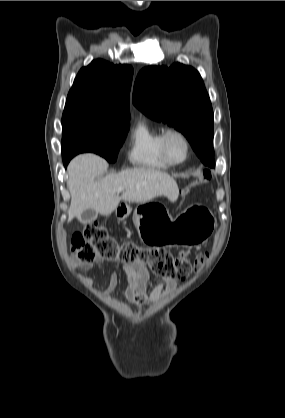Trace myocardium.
<instances>
[{"label": "myocardium", "mask_w": 285, "mask_h": 418, "mask_svg": "<svg viewBox=\"0 0 285 418\" xmlns=\"http://www.w3.org/2000/svg\"><path fill=\"white\" fill-rule=\"evenodd\" d=\"M172 135H175V136L179 137L182 140V142L184 144V147H185L184 156L180 160H174L170 156L169 151L167 149V140ZM159 146H160V149H161V151H162L165 159L170 164H173V165L181 164V163L185 162L188 159V157H189V153H190V142H189V139H188L187 135L183 131H181L179 129L169 128V129H166L165 131H163L161 133V135H160V138H159Z\"/></svg>", "instance_id": "f54148a6"}]
</instances>
